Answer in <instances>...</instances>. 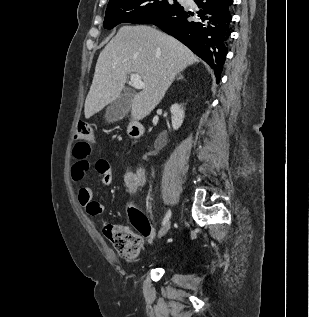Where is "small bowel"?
<instances>
[{
  "instance_id": "small-bowel-1",
  "label": "small bowel",
  "mask_w": 309,
  "mask_h": 317,
  "mask_svg": "<svg viewBox=\"0 0 309 317\" xmlns=\"http://www.w3.org/2000/svg\"><path fill=\"white\" fill-rule=\"evenodd\" d=\"M87 154L88 152L84 149L74 150L75 160L70 170V176L74 182L81 181L91 169V164L86 158ZM116 155L117 153H115ZM95 167L102 176L103 185L109 186L113 179L109 161L107 159H99ZM124 183L130 192L137 191L145 183L143 170L141 168L127 170L124 175ZM77 200L90 217H95L103 212L102 203L94 198L93 189L89 186H83L78 190Z\"/></svg>"
}]
</instances>
